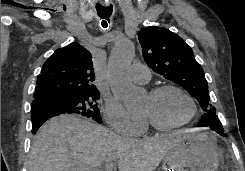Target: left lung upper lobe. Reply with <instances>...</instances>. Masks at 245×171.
<instances>
[{
    "label": "left lung upper lobe",
    "instance_id": "left-lung-upper-lobe-1",
    "mask_svg": "<svg viewBox=\"0 0 245 171\" xmlns=\"http://www.w3.org/2000/svg\"><path fill=\"white\" fill-rule=\"evenodd\" d=\"M138 39L143 58L154 72L186 89L205 113L216 114L215 107L209 104L204 71L180 36L166 28L150 26L139 31Z\"/></svg>",
    "mask_w": 245,
    "mask_h": 171
}]
</instances>
